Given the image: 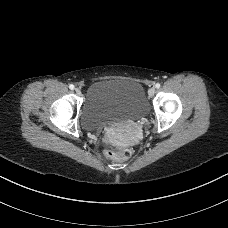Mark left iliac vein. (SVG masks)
Masks as SVG:
<instances>
[{"label": "left iliac vein", "mask_w": 228, "mask_h": 228, "mask_svg": "<svg viewBox=\"0 0 228 228\" xmlns=\"http://www.w3.org/2000/svg\"><path fill=\"white\" fill-rule=\"evenodd\" d=\"M156 93V89L154 87H151L149 90H148V94L149 96H154Z\"/></svg>", "instance_id": "obj_1"}]
</instances>
